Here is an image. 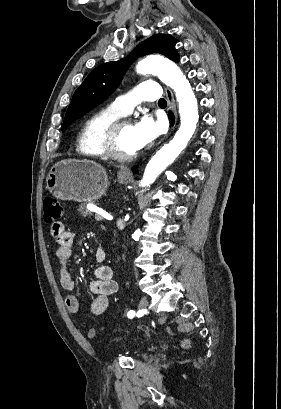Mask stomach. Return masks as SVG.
Segmentation results:
<instances>
[{
    "instance_id": "stomach-1",
    "label": "stomach",
    "mask_w": 281,
    "mask_h": 409,
    "mask_svg": "<svg viewBox=\"0 0 281 409\" xmlns=\"http://www.w3.org/2000/svg\"><path fill=\"white\" fill-rule=\"evenodd\" d=\"M131 176L118 172L121 184L129 182ZM46 184L49 192L61 200H97L107 190L108 174L95 160L65 158L51 166Z\"/></svg>"
}]
</instances>
